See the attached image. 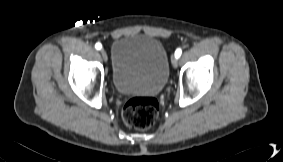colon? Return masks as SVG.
<instances>
[{
    "mask_svg": "<svg viewBox=\"0 0 283 162\" xmlns=\"http://www.w3.org/2000/svg\"><path fill=\"white\" fill-rule=\"evenodd\" d=\"M159 103L150 97H133L129 99L122 111L124 122L135 129L150 128L158 118Z\"/></svg>",
    "mask_w": 283,
    "mask_h": 162,
    "instance_id": "5ec220e1",
    "label": "colon"
}]
</instances>
